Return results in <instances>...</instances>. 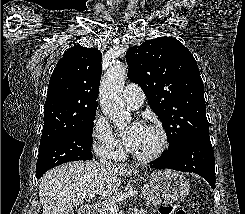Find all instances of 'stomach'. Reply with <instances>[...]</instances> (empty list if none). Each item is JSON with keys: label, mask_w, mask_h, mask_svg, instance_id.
Returning <instances> with one entry per match:
<instances>
[{"label": "stomach", "mask_w": 245, "mask_h": 214, "mask_svg": "<svg viewBox=\"0 0 245 214\" xmlns=\"http://www.w3.org/2000/svg\"><path fill=\"white\" fill-rule=\"evenodd\" d=\"M149 184L155 194L167 200H181L190 191L189 181L186 177L172 170L152 172L149 175Z\"/></svg>", "instance_id": "obj_1"}]
</instances>
